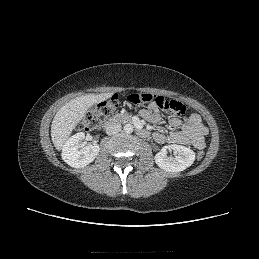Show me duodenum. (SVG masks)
I'll return each mask as SVG.
<instances>
[{
  "label": "duodenum",
  "mask_w": 259,
  "mask_h": 259,
  "mask_svg": "<svg viewBox=\"0 0 259 259\" xmlns=\"http://www.w3.org/2000/svg\"><path fill=\"white\" fill-rule=\"evenodd\" d=\"M119 120H124V121H131L135 124L136 128H137V133L138 135H140L141 137H146L148 136V131L140 125V123L135 120V119H130L128 116H116L113 117L109 120H107L104 124L105 128H109L110 126H112L113 124H115L117 121Z\"/></svg>",
  "instance_id": "obj_1"
}]
</instances>
